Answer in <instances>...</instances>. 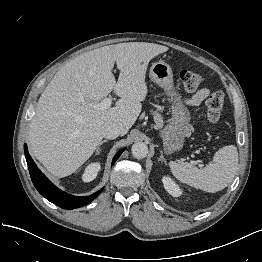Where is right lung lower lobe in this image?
<instances>
[{"instance_id": "98d812e1", "label": "right lung lower lobe", "mask_w": 262, "mask_h": 262, "mask_svg": "<svg viewBox=\"0 0 262 262\" xmlns=\"http://www.w3.org/2000/svg\"><path fill=\"white\" fill-rule=\"evenodd\" d=\"M24 151L28 164V169L34 186L36 187L38 192L50 202L64 209H74L90 203L100 194L101 190L90 196L79 197V196H72L61 191L56 186H54L36 166V164L34 163V161L32 160L31 156L28 153L26 144L24 145ZM123 151L124 149L120 150L114 156L112 165L115 163V161Z\"/></svg>"}]
</instances>
